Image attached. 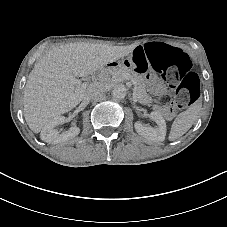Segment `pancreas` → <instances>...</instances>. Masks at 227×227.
Here are the masks:
<instances>
[{
    "label": "pancreas",
    "instance_id": "pancreas-1",
    "mask_svg": "<svg viewBox=\"0 0 227 227\" xmlns=\"http://www.w3.org/2000/svg\"><path fill=\"white\" fill-rule=\"evenodd\" d=\"M125 80H132L135 82V92L138 94V99L140 102H148L149 96L146 93L147 86L143 77L137 72L124 67V66H116L110 69H106L101 71V73L97 77V83L102 84L105 87L112 82H122Z\"/></svg>",
    "mask_w": 227,
    "mask_h": 227
}]
</instances>
